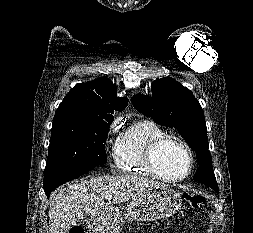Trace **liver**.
I'll list each match as a JSON object with an SVG mask.
<instances>
[{"label": "liver", "instance_id": "liver-1", "mask_svg": "<svg viewBox=\"0 0 253 233\" xmlns=\"http://www.w3.org/2000/svg\"><path fill=\"white\" fill-rule=\"evenodd\" d=\"M159 186L165 185L133 175L90 177L68 184L50 202L49 231L67 233L86 214L103 212L107 195L113 196L112 204H119Z\"/></svg>", "mask_w": 253, "mask_h": 233}]
</instances>
